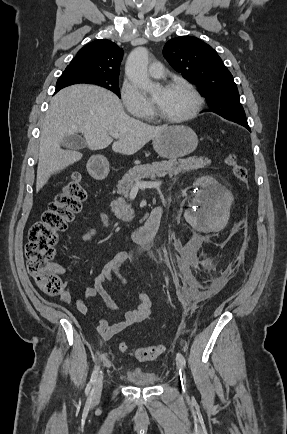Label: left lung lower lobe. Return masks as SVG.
Segmentation results:
<instances>
[{"mask_svg":"<svg viewBox=\"0 0 287 434\" xmlns=\"http://www.w3.org/2000/svg\"><path fill=\"white\" fill-rule=\"evenodd\" d=\"M222 117H224L227 120L236 122V123L246 127L249 131H251L249 126H248L245 115H233V114H231V115H224Z\"/></svg>","mask_w":287,"mask_h":434,"instance_id":"left-lung-lower-lobe-1","label":"left lung lower lobe"}]
</instances>
